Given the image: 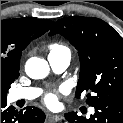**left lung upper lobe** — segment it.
<instances>
[{
  "instance_id": "obj_1",
  "label": "left lung upper lobe",
  "mask_w": 123,
  "mask_h": 123,
  "mask_svg": "<svg viewBox=\"0 0 123 123\" xmlns=\"http://www.w3.org/2000/svg\"><path fill=\"white\" fill-rule=\"evenodd\" d=\"M57 33L78 50L76 97L94 92L86 100L93 107L105 100L123 101V38L117 31L98 18L74 16L58 20L49 35Z\"/></svg>"
}]
</instances>
